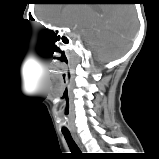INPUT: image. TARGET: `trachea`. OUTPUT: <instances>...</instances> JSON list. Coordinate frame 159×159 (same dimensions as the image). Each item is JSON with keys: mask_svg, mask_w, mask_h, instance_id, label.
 <instances>
[{"mask_svg": "<svg viewBox=\"0 0 159 159\" xmlns=\"http://www.w3.org/2000/svg\"><path fill=\"white\" fill-rule=\"evenodd\" d=\"M65 140L69 146V149L71 150L72 153L74 154H79L81 153L80 149L78 148V146L76 145V143L74 142L72 136L70 133H63Z\"/></svg>", "mask_w": 159, "mask_h": 159, "instance_id": "trachea-1", "label": "trachea"}]
</instances>
